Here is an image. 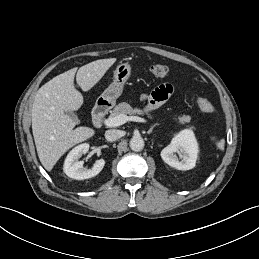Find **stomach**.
<instances>
[{"mask_svg":"<svg viewBox=\"0 0 259 259\" xmlns=\"http://www.w3.org/2000/svg\"><path fill=\"white\" fill-rule=\"evenodd\" d=\"M131 74V66L128 62L120 63L115 71L113 82L104 90L97 98L96 106L112 107L116 104V100L121 96L124 84Z\"/></svg>","mask_w":259,"mask_h":259,"instance_id":"0dacf381","label":"stomach"}]
</instances>
